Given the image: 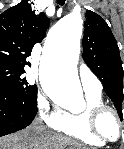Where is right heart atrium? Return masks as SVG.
<instances>
[{"label":"right heart atrium","mask_w":124,"mask_h":149,"mask_svg":"<svg viewBox=\"0 0 124 149\" xmlns=\"http://www.w3.org/2000/svg\"><path fill=\"white\" fill-rule=\"evenodd\" d=\"M37 111L41 120L51 129L57 130L65 118L66 112L41 95L37 101Z\"/></svg>","instance_id":"d8ad5b80"}]
</instances>
